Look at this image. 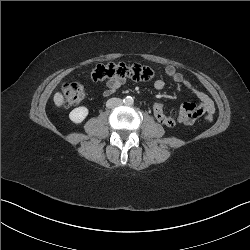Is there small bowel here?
<instances>
[{
    "label": "small bowel",
    "mask_w": 250,
    "mask_h": 250,
    "mask_svg": "<svg viewBox=\"0 0 250 250\" xmlns=\"http://www.w3.org/2000/svg\"><path fill=\"white\" fill-rule=\"evenodd\" d=\"M165 75L172 79L175 83L185 87L190 93L195 95L199 100V104L194 103H184L177 115H169L164 111L163 104L160 102H155L153 104V113L155 118L159 123L167 126L174 127L179 124L183 125H192L200 116L205 113L214 114L215 106L213 100L203 91L195 87L190 81H188L181 72L177 69L168 65L165 67ZM125 83L124 79H109L105 83L104 95L109 96L116 92L123 84ZM166 83L163 79H158L154 83V88L158 91H161L165 88Z\"/></svg>",
    "instance_id": "c3829d8e"
}]
</instances>
